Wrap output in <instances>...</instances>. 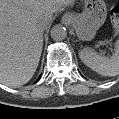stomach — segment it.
Listing matches in <instances>:
<instances>
[{
  "label": "stomach",
  "instance_id": "0dacf381",
  "mask_svg": "<svg viewBox=\"0 0 119 119\" xmlns=\"http://www.w3.org/2000/svg\"><path fill=\"white\" fill-rule=\"evenodd\" d=\"M84 3L82 14L74 16L70 24L80 40L89 41L104 24L107 10L103 0H81Z\"/></svg>",
  "mask_w": 119,
  "mask_h": 119
}]
</instances>
